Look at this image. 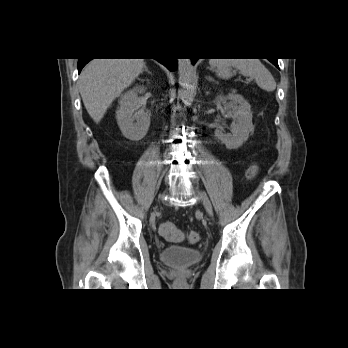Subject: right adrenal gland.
Returning a JSON list of instances; mask_svg holds the SVG:
<instances>
[{"mask_svg":"<svg viewBox=\"0 0 348 348\" xmlns=\"http://www.w3.org/2000/svg\"><path fill=\"white\" fill-rule=\"evenodd\" d=\"M144 71L152 75V73L148 70L146 65H144Z\"/></svg>","mask_w":348,"mask_h":348,"instance_id":"1","label":"right adrenal gland"}]
</instances>
